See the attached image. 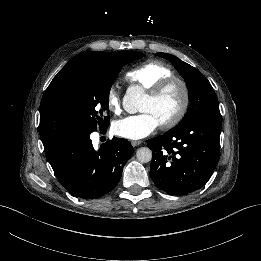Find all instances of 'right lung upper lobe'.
Returning a JSON list of instances; mask_svg holds the SVG:
<instances>
[{
  "label": "right lung upper lobe",
  "mask_w": 261,
  "mask_h": 261,
  "mask_svg": "<svg viewBox=\"0 0 261 261\" xmlns=\"http://www.w3.org/2000/svg\"><path fill=\"white\" fill-rule=\"evenodd\" d=\"M125 52H83L72 58L53 78L40 105V132H47L58 139L72 134L75 112L69 93L72 78L79 71L95 66L118 63Z\"/></svg>",
  "instance_id": "1"
}]
</instances>
